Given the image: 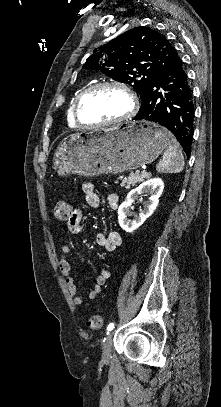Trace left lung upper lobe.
<instances>
[{
	"mask_svg": "<svg viewBox=\"0 0 221 407\" xmlns=\"http://www.w3.org/2000/svg\"><path fill=\"white\" fill-rule=\"evenodd\" d=\"M172 50L164 35L140 26L95 49L83 67L131 85L142 97L151 79L171 58Z\"/></svg>",
	"mask_w": 221,
	"mask_h": 407,
	"instance_id": "1",
	"label": "left lung upper lobe"
}]
</instances>
